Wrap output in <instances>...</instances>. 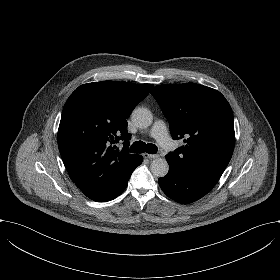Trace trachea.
<instances>
[{"instance_id":"3493384b","label":"trachea","mask_w":280,"mask_h":280,"mask_svg":"<svg viewBox=\"0 0 280 280\" xmlns=\"http://www.w3.org/2000/svg\"><path fill=\"white\" fill-rule=\"evenodd\" d=\"M130 151L132 153H148V154H156L157 146L152 143H144L142 141H136L132 144Z\"/></svg>"}]
</instances>
